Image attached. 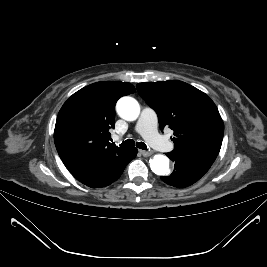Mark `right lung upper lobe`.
Wrapping results in <instances>:
<instances>
[{
  "mask_svg": "<svg viewBox=\"0 0 267 267\" xmlns=\"http://www.w3.org/2000/svg\"><path fill=\"white\" fill-rule=\"evenodd\" d=\"M135 92L127 82H97L74 93L59 111L54 141L58 154L81 183L129 148L109 142L117 100Z\"/></svg>",
  "mask_w": 267,
  "mask_h": 267,
  "instance_id": "cb5924a9",
  "label": "right lung upper lobe"
}]
</instances>
